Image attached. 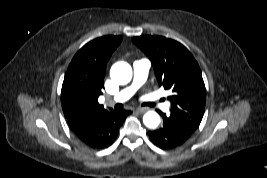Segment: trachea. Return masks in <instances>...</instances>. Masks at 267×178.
<instances>
[{
    "label": "trachea",
    "mask_w": 267,
    "mask_h": 178,
    "mask_svg": "<svg viewBox=\"0 0 267 178\" xmlns=\"http://www.w3.org/2000/svg\"><path fill=\"white\" fill-rule=\"evenodd\" d=\"M147 105L153 107L155 106V103H148Z\"/></svg>",
    "instance_id": "obj_1"
}]
</instances>
